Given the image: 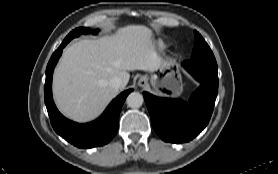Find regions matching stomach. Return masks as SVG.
<instances>
[{
  "instance_id": "stomach-1",
  "label": "stomach",
  "mask_w": 278,
  "mask_h": 174,
  "mask_svg": "<svg viewBox=\"0 0 278 174\" xmlns=\"http://www.w3.org/2000/svg\"><path fill=\"white\" fill-rule=\"evenodd\" d=\"M161 75L153 74L150 78V84L158 94L177 97L183 90L181 75L174 71L169 63H162L158 68Z\"/></svg>"
}]
</instances>
